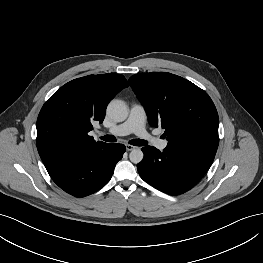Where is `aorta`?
Returning <instances> with one entry per match:
<instances>
[{
	"instance_id": "obj_1",
	"label": "aorta",
	"mask_w": 263,
	"mask_h": 263,
	"mask_svg": "<svg viewBox=\"0 0 263 263\" xmlns=\"http://www.w3.org/2000/svg\"><path fill=\"white\" fill-rule=\"evenodd\" d=\"M107 114L112 120L122 122L128 117V108L123 101L112 100L107 106ZM143 157L140 149H133L129 154L130 161L135 164L140 163Z\"/></svg>"
}]
</instances>
